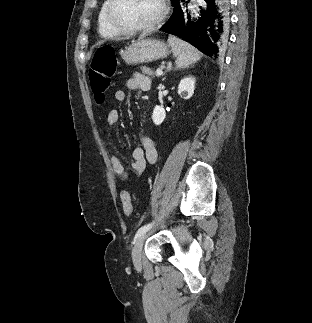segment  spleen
<instances>
[{
	"label": "spleen",
	"mask_w": 312,
	"mask_h": 323,
	"mask_svg": "<svg viewBox=\"0 0 312 323\" xmlns=\"http://www.w3.org/2000/svg\"><path fill=\"white\" fill-rule=\"evenodd\" d=\"M168 42L172 48L173 56L177 58V68H189L191 64H196L200 60L201 52L190 46L188 42H183V40H179V38L171 36V34H169Z\"/></svg>",
	"instance_id": "1"
}]
</instances>
